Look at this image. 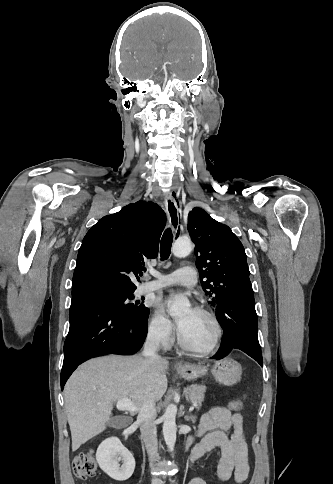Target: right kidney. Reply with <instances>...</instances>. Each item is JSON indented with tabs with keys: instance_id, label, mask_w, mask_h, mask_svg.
<instances>
[{
	"instance_id": "right-kidney-1",
	"label": "right kidney",
	"mask_w": 333,
	"mask_h": 484,
	"mask_svg": "<svg viewBox=\"0 0 333 484\" xmlns=\"http://www.w3.org/2000/svg\"><path fill=\"white\" fill-rule=\"evenodd\" d=\"M96 460L100 468L112 479L125 481L129 479L135 469V459L116 437L102 441L96 452ZM123 461L120 465L119 462Z\"/></svg>"
}]
</instances>
